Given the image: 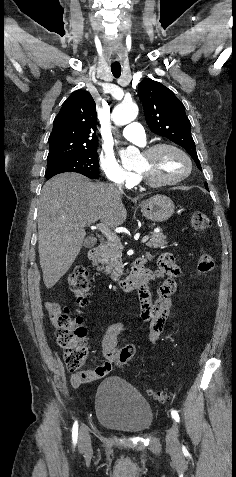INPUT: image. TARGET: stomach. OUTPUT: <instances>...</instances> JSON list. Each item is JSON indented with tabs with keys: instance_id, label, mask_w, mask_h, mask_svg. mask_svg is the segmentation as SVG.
Here are the masks:
<instances>
[{
	"instance_id": "1",
	"label": "stomach",
	"mask_w": 236,
	"mask_h": 477,
	"mask_svg": "<svg viewBox=\"0 0 236 477\" xmlns=\"http://www.w3.org/2000/svg\"><path fill=\"white\" fill-rule=\"evenodd\" d=\"M173 201L165 195H155L141 203V212L148 220L163 222L174 213Z\"/></svg>"
}]
</instances>
